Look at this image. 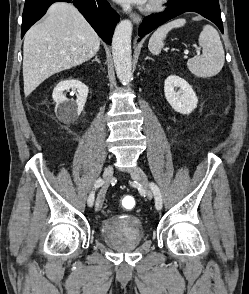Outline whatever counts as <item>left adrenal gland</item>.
Listing matches in <instances>:
<instances>
[{"mask_svg":"<svg viewBox=\"0 0 249 294\" xmlns=\"http://www.w3.org/2000/svg\"><path fill=\"white\" fill-rule=\"evenodd\" d=\"M145 59H146V60H147V59H150V57L147 56Z\"/></svg>","mask_w":249,"mask_h":294,"instance_id":"a2214340","label":"left adrenal gland"}]
</instances>
